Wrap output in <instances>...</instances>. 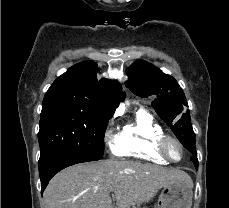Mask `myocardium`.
<instances>
[{
	"mask_svg": "<svg viewBox=\"0 0 229 208\" xmlns=\"http://www.w3.org/2000/svg\"><path fill=\"white\" fill-rule=\"evenodd\" d=\"M177 144L179 146V148L181 149V156L179 158H175L174 154H173V148H172V144ZM158 147L156 149L157 153H162L161 157L162 158H168L171 162H180L184 156H185V145L183 144V142L176 136L174 135H169L166 134L162 140L161 143L158 144Z\"/></svg>",
	"mask_w": 229,
	"mask_h": 208,
	"instance_id": "f54148a6",
	"label": "myocardium"
}]
</instances>
